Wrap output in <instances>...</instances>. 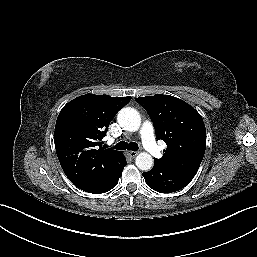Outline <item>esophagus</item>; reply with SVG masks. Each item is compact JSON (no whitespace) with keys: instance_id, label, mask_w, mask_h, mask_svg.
I'll return each instance as SVG.
<instances>
[{"instance_id":"34e87169","label":"esophagus","mask_w":257,"mask_h":257,"mask_svg":"<svg viewBox=\"0 0 257 257\" xmlns=\"http://www.w3.org/2000/svg\"><path fill=\"white\" fill-rule=\"evenodd\" d=\"M138 153L136 151H128V155L131 157V158H134L136 157Z\"/></svg>"}]
</instances>
